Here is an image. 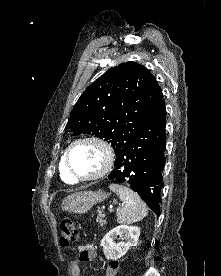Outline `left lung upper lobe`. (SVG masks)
I'll list each match as a JSON object with an SVG mask.
<instances>
[{"label": "left lung upper lobe", "mask_w": 221, "mask_h": 276, "mask_svg": "<svg viewBox=\"0 0 221 276\" xmlns=\"http://www.w3.org/2000/svg\"><path fill=\"white\" fill-rule=\"evenodd\" d=\"M164 107L162 91L153 75L129 61L111 67L87 87L66 128L73 135L104 138L116 154Z\"/></svg>", "instance_id": "obj_1"}]
</instances>
